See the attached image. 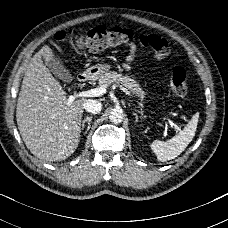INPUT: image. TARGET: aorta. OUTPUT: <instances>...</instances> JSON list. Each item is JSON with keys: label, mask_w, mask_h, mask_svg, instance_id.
I'll use <instances>...</instances> for the list:
<instances>
[{"label": "aorta", "mask_w": 228, "mask_h": 228, "mask_svg": "<svg viewBox=\"0 0 228 228\" xmlns=\"http://www.w3.org/2000/svg\"><path fill=\"white\" fill-rule=\"evenodd\" d=\"M109 120L114 124L120 123L123 120V112L121 110L113 109L110 112Z\"/></svg>", "instance_id": "1"}]
</instances>
